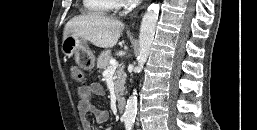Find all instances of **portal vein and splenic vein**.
<instances>
[{
    "label": "portal vein and splenic vein",
    "mask_w": 257,
    "mask_h": 130,
    "mask_svg": "<svg viewBox=\"0 0 257 130\" xmlns=\"http://www.w3.org/2000/svg\"><path fill=\"white\" fill-rule=\"evenodd\" d=\"M118 67V62L114 59L110 60V66L105 70V73L113 72Z\"/></svg>",
    "instance_id": "1"
}]
</instances>
